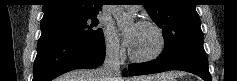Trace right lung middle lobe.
Instances as JSON below:
<instances>
[{
	"instance_id": "1",
	"label": "right lung middle lobe",
	"mask_w": 237,
	"mask_h": 81,
	"mask_svg": "<svg viewBox=\"0 0 237 81\" xmlns=\"http://www.w3.org/2000/svg\"><path fill=\"white\" fill-rule=\"evenodd\" d=\"M96 15L54 16L41 20L42 35H58L84 41L103 40L102 29H97Z\"/></svg>"
}]
</instances>
